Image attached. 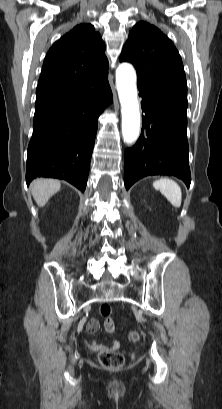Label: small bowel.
<instances>
[{
    "instance_id": "c3829d8e",
    "label": "small bowel",
    "mask_w": 222,
    "mask_h": 409,
    "mask_svg": "<svg viewBox=\"0 0 222 409\" xmlns=\"http://www.w3.org/2000/svg\"><path fill=\"white\" fill-rule=\"evenodd\" d=\"M98 328H99L98 321L97 320H90L88 322V325H87V332L91 333V334L95 333V332L98 331ZM88 346L93 350L115 349V348H118L119 343L117 341H113L110 345H104V344L99 343L97 341H91V342L88 343Z\"/></svg>"
}]
</instances>
